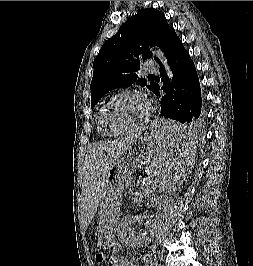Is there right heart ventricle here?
I'll list each match as a JSON object with an SVG mask.
<instances>
[{"label": "right heart ventricle", "mask_w": 253, "mask_h": 266, "mask_svg": "<svg viewBox=\"0 0 253 266\" xmlns=\"http://www.w3.org/2000/svg\"><path fill=\"white\" fill-rule=\"evenodd\" d=\"M98 118V117H97ZM96 128H97V133H98V135L99 136H101V137H105L106 135H104L101 131H100V128H99V126H98V121H97V119H96Z\"/></svg>", "instance_id": "1"}]
</instances>
